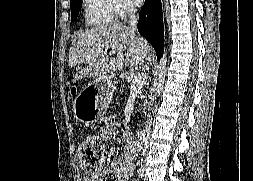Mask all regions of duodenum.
Returning <instances> with one entry per match:
<instances>
[{"instance_id": "1", "label": "duodenum", "mask_w": 253, "mask_h": 181, "mask_svg": "<svg viewBox=\"0 0 253 181\" xmlns=\"http://www.w3.org/2000/svg\"><path fill=\"white\" fill-rule=\"evenodd\" d=\"M146 134V131L144 129H142L140 132H139V136L140 137H144Z\"/></svg>"}]
</instances>
